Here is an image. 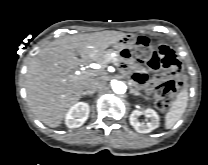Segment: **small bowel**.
<instances>
[{
	"instance_id": "c3829d8e",
	"label": "small bowel",
	"mask_w": 208,
	"mask_h": 165,
	"mask_svg": "<svg viewBox=\"0 0 208 165\" xmlns=\"http://www.w3.org/2000/svg\"><path fill=\"white\" fill-rule=\"evenodd\" d=\"M120 57L127 62H123L121 64V71L123 73H128V79L130 81H135L137 84L141 86L148 87L150 84V81L148 79L147 74L144 71H139L138 69H132V64L128 61H131L133 59V52L129 48H122L120 50ZM158 79H154L153 82H155Z\"/></svg>"
}]
</instances>
